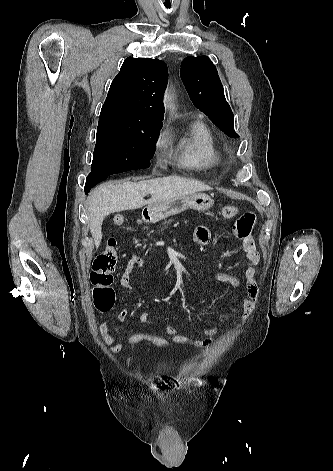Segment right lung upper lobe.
Masks as SVG:
<instances>
[{
    "label": "right lung upper lobe",
    "instance_id": "1",
    "mask_svg": "<svg viewBox=\"0 0 333 471\" xmlns=\"http://www.w3.org/2000/svg\"><path fill=\"white\" fill-rule=\"evenodd\" d=\"M168 81L165 62L127 58L111 83L100 118L162 123L163 93Z\"/></svg>",
    "mask_w": 333,
    "mask_h": 471
}]
</instances>
